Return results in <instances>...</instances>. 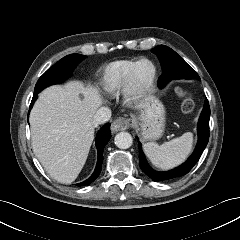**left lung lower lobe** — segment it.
Wrapping results in <instances>:
<instances>
[{
  "mask_svg": "<svg viewBox=\"0 0 240 240\" xmlns=\"http://www.w3.org/2000/svg\"><path fill=\"white\" fill-rule=\"evenodd\" d=\"M209 118L210 106L208 100L206 99L198 122V143L193 154L181 166L167 172H157L150 168L142 152L141 143L138 141L139 166L142 171L155 182L171 180L186 175L197 163L205 147L207 146L209 140Z\"/></svg>",
  "mask_w": 240,
  "mask_h": 240,
  "instance_id": "0a47b994",
  "label": "left lung lower lobe"
}]
</instances>
